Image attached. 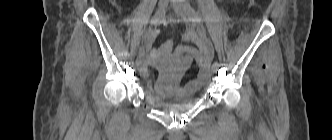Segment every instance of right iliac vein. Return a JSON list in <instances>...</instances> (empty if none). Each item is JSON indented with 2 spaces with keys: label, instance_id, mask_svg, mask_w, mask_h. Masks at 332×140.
<instances>
[{
  "label": "right iliac vein",
  "instance_id": "right-iliac-vein-1",
  "mask_svg": "<svg viewBox=\"0 0 332 140\" xmlns=\"http://www.w3.org/2000/svg\"><path fill=\"white\" fill-rule=\"evenodd\" d=\"M169 0H159L158 3V11L162 12L166 9L167 5H168ZM145 58V50L143 47H140L139 49V53L136 59V65L140 66L142 64V62L144 61Z\"/></svg>",
  "mask_w": 332,
  "mask_h": 140
}]
</instances>
